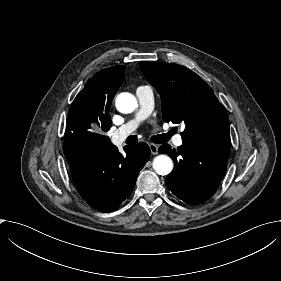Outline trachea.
Wrapping results in <instances>:
<instances>
[{"label": "trachea", "instance_id": "obj_1", "mask_svg": "<svg viewBox=\"0 0 281 281\" xmlns=\"http://www.w3.org/2000/svg\"><path fill=\"white\" fill-rule=\"evenodd\" d=\"M164 135L169 138V135H168V134H164ZM132 141H133V143H136V142L138 141L137 138H136V136H133V137H132Z\"/></svg>", "mask_w": 281, "mask_h": 281}]
</instances>
